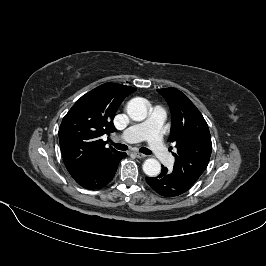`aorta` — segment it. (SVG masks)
Segmentation results:
<instances>
[{
	"label": "aorta",
	"mask_w": 266,
	"mask_h": 266,
	"mask_svg": "<svg viewBox=\"0 0 266 266\" xmlns=\"http://www.w3.org/2000/svg\"><path fill=\"white\" fill-rule=\"evenodd\" d=\"M148 109L140 98H133L127 104V114L134 121H142L147 117ZM143 171L147 176L155 177L161 172V164L153 158H148L143 163Z\"/></svg>",
	"instance_id": "aorta-1"
}]
</instances>
